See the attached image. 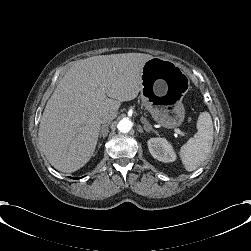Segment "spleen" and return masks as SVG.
I'll return each instance as SVG.
<instances>
[{"label":"spleen","instance_id":"1","mask_svg":"<svg viewBox=\"0 0 251 251\" xmlns=\"http://www.w3.org/2000/svg\"><path fill=\"white\" fill-rule=\"evenodd\" d=\"M197 133L181 147L180 157L187 171L196 170L209 156L213 144V122L208 112L197 120Z\"/></svg>","mask_w":251,"mask_h":251}]
</instances>
